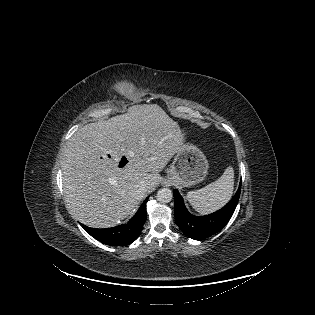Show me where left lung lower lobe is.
I'll list each match as a JSON object with an SVG mask.
<instances>
[{
    "mask_svg": "<svg viewBox=\"0 0 315 315\" xmlns=\"http://www.w3.org/2000/svg\"><path fill=\"white\" fill-rule=\"evenodd\" d=\"M240 191L241 182L234 197L223 208L206 216H194L187 211L183 198L175 189L173 194L177 225L185 235L194 240H203L218 233L232 217L239 201Z\"/></svg>",
    "mask_w": 315,
    "mask_h": 315,
    "instance_id": "left-lung-lower-lobe-1",
    "label": "left lung lower lobe"
}]
</instances>
